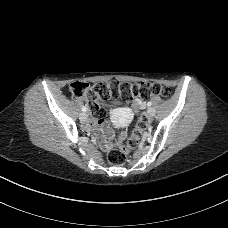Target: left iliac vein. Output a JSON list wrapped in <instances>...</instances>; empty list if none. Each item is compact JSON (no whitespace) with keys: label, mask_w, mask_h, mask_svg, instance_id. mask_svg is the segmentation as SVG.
I'll return each mask as SVG.
<instances>
[{"label":"left iliac vein","mask_w":228,"mask_h":228,"mask_svg":"<svg viewBox=\"0 0 228 228\" xmlns=\"http://www.w3.org/2000/svg\"><path fill=\"white\" fill-rule=\"evenodd\" d=\"M147 115H148V117H153V116L155 115V110H154V108H149V109L147 110Z\"/></svg>","instance_id":"obj_1"}]
</instances>
